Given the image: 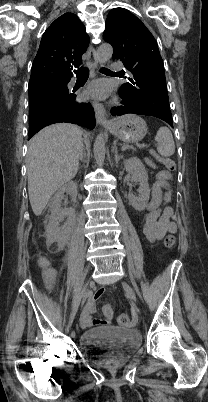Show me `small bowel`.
I'll use <instances>...</instances> for the list:
<instances>
[{
	"mask_svg": "<svg viewBox=\"0 0 208 402\" xmlns=\"http://www.w3.org/2000/svg\"><path fill=\"white\" fill-rule=\"evenodd\" d=\"M146 163L156 170L155 182L152 187V200L148 209L142 216V229L146 238L150 242L162 239L167 233H175L176 225L171 220L172 209L170 207L160 208L161 201L169 200V192L166 191L172 179V173L168 170H159L150 160ZM104 292L102 289H95L92 295L94 301H101ZM90 300L84 311L83 320L79 324L81 330H88L90 324L104 325L113 317V311L109 305L103 308V318L95 319L92 317L94 302ZM64 330H71L73 324L71 321H64L62 324Z\"/></svg>",
	"mask_w": 208,
	"mask_h": 402,
	"instance_id": "c3829d8e",
	"label": "small bowel"
}]
</instances>
